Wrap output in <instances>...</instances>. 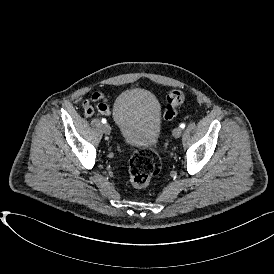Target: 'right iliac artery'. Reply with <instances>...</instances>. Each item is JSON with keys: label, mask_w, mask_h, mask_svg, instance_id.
Masks as SVG:
<instances>
[{"label": "right iliac artery", "mask_w": 274, "mask_h": 274, "mask_svg": "<svg viewBox=\"0 0 274 274\" xmlns=\"http://www.w3.org/2000/svg\"><path fill=\"white\" fill-rule=\"evenodd\" d=\"M101 121H102V123H106L107 122L105 118H102Z\"/></svg>", "instance_id": "obj_1"}]
</instances>
